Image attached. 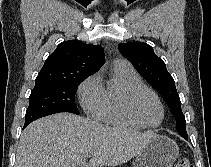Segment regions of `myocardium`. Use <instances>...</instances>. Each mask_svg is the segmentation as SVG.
<instances>
[{"label":"myocardium","mask_w":211,"mask_h":167,"mask_svg":"<svg viewBox=\"0 0 211 167\" xmlns=\"http://www.w3.org/2000/svg\"><path fill=\"white\" fill-rule=\"evenodd\" d=\"M141 92L150 93L156 99V101H157V103L160 107L161 118H160V121L158 123L154 124V125H148V124L143 123L138 118L136 113L134 112L133 100ZM122 107H123L125 114L133 122H135L137 125H139L140 127H143V128H148V129L157 128L163 123L164 118H165V108H164V105H163L161 98L159 97V95L157 94L156 91H154L152 88L145 86V85H138V86H134V87L127 89L122 95Z\"/></svg>","instance_id":"1"}]
</instances>
